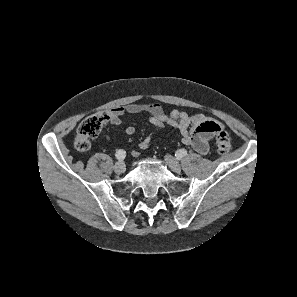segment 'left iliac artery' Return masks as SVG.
Here are the masks:
<instances>
[{
	"instance_id": "left-iliac-artery-1",
	"label": "left iliac artery",
	"mask_w": 297,
	"mask_h": 297,
	"mask_svg": "<svg viewBox=\"0 0 297 297\" xmlns=\"http://www.w3.org/2000/svg\"><path fill=\"white\" fill-rule=\"evenodd\" d=\"M186 155H187V150H185V149H180V150H178V151H177V154H176V156H177L178 158H181V157L186 156Z\"/></svg>"
}]
</instances>
